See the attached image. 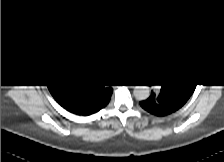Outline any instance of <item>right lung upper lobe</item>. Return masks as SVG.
Segmentation results:
<instances>
[{
	"instance_id": "1",
	"label": "right lung upper lobe",
	"mask_w": 224,
	"mask_h": 162,
	"mask_svg": "<svg viewBox=\"0 0 224 162\" xmlns=\"http://www.w3.org/2000/svg\"><path fill=\"white\" fill-rule=\"evenodd\" d=\"M54 99L66 110L75 113H91L104 98L103 94L91 92L83 82L71 80L47 81Z\"/></svg>"
}]
</instances>
